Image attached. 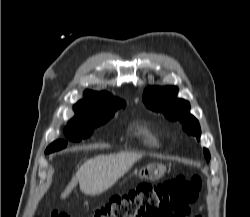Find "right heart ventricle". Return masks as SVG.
Wrapping results in <instances>:
<instances>
[{
    "instance_id": "1",
    "label": "right heart ventricle",
    "mask_w": 250,
    "mask_h": 217,
    "mask_svg": "<svg viewBox=\"0 0 250 217\" xmlns=\"http://www.w3.org/2000/svg\"><path fill=\"white\" fill-rule=\"evenodd\" d=\"M134 133L145 145L150 147H156L158 145L157 139L147 126L136 125L134 127Z\"/></svg>"
}]
</instances>
